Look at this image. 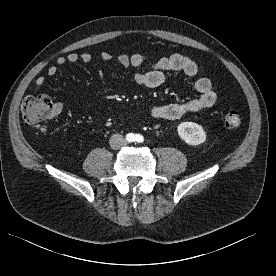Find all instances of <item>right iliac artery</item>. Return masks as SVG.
<instances>
[{
  "mask_svg": "<svg viewBox=\"0 0 276 276\" xmlns=\"http://www.w3.org/2000/svg\"><path fill=\"white\" fill-rule=\"evenodd\" d=\"M126 140H127L128 142H133V141H135V135H134L133 133H128V134L126 135Z\"/></svg>",
  "mask_w": 276,
  "mask_h": 276,
  "instance_id": "right-iliac-artery-1",
  "label": "right iliac artery"
}]
</instances>
